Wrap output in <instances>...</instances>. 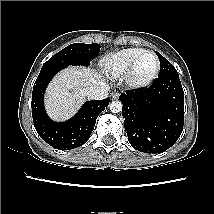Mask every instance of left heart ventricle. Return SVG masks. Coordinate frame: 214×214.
<instances>
[{
	"instance_id": "left-heart-ventricle-1",
	"label": "left heart ventricle",
	"mask_w": 214,
	"mask_h": 214,
	"mask_svg": "<svg viewBox=\"0 0 214 214\" xmlns=\"http://www.w3.org/2000/svg\"><path fill=\"white\" fill-rule=\"evenodd\" d=\"M155 67H156L155 57L150 54L144 55L137 66L136 75L139 78H145L152 74Z\"/></svg>"
}]
</instances>
